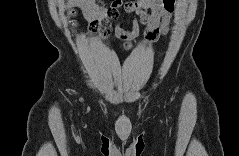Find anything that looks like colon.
<instances>
[{"label":"colon","instance_id":"5ec220e1","mask_svg":"<svg viewBox=\"0 0 239 156\" xmlns=\"http://www.w3.org/2000/svg\"><path fill=\"white\" fill-rule=\"evenodd\" d=\"M95 31V26L94 25H91L90 26V32H94Z\"/></svg>","mask_w":239,"mask_h":156}]
</instances>
